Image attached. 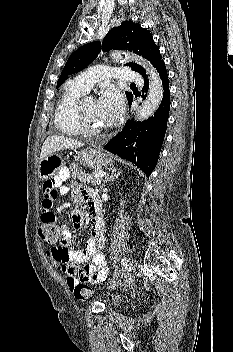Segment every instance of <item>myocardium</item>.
<instances>
[{"instance_id":"obj_1","label":"myocardium","mask_w":233,"mask_h":352,"mask_svg":"<svg viewBox=\"0 0 233 352\" xmlns=\"http://www.w3.org/2000/svg\"><path fill=\"white\" fill-rule=\"evenodd\" d=\"M83 103H84V100L78 103L77 112H76L77 123L81 133H84L87 135H97V134L103 133L105 131L104 128H96L88 124L84 113Z\"/></svg>"}]
</instances>
